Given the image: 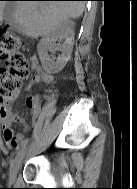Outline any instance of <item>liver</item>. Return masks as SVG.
I'll return each instance as SVG.
<instances>
[{"label":"liver","mask_w":137,"mask_h":189,"mask_svg":"<svg viewBox=\"0 0 137 189\" xmlns=\"http://www.w3.org/2000/svg\"><path fill=\"white\" fill-rule=\"evenodd\" d=\"M5 5L0 1V24ZM84 9V1H17L13 18L20 33L37 38L53 32L68 18L80 17Z\"/></svg>","instance_id":"obj_1"}]
</instances>
